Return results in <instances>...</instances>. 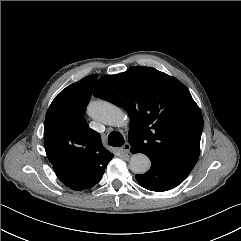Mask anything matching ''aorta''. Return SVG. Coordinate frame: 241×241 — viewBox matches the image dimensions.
I'll return each mask as SVG.
<instances>
[{
	"instance_id": "1",
	"label": "aorta",
	"mask_w": 241,
	"mask_h": 241,
	"mask_svg": "<svg viewBox=\"0 0 241 241\" xmlns=\"http://www.w3.org/2000/svg\"><path fill=\"white\" fill-rule=\"evenodd\" d=\"M87 114L92 119L110 126L125 127L129 123L128 117L119 107L103 100L90 102ZM150 166V159L144 153H134L130 158L129 167L135 174L146 173Z\"/></svg>"
}]
</instances>
